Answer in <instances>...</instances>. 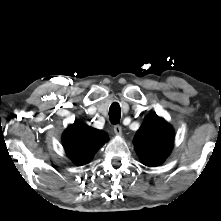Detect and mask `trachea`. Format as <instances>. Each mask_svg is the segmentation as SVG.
Wrapping results in <instances>:
<instances>
[{
  "label": "trachea",
  "instance_id": "1",
  "mask_svg": "<svg viewBox=\"0 0 221 221\" xmlns=\"http://www.w3.org/2000/svg\"><path fill=\"white\" fill-rule=\"evenodd\" d=\"M121 117V108L118 103H113L109 109V118L111 123L117 124L120 121Z\"/></svg>",
  "mask_w": 221,
  "mask_h": 221
}]
</instances>
